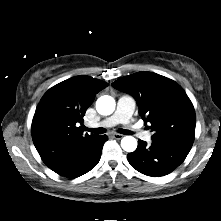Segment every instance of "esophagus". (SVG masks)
<instances>
[{"instance_id": "esophagus-1", "label": "esophagus", "mask_w": 221, "mask_h": 221, "mask_svg": "<svg viewBox=\"0 0 221 221\" xmlns=\"http://www.w3.org/2000/svg\"><path fill=\"white\" fill-rule=\"evenodd\" d=\"M112 137L116 140H120L123 138V135L122 134H113Z\"/></svg>"}]
</instances>
